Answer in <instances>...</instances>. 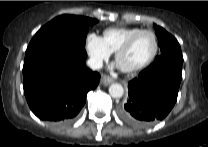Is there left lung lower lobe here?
Wrapping results in <instances>:
<instances>
[{"label":"left lung lower lobe","instance_id":"1","mask_svg":"<svg viewBox=\"0 0 208 147\" xmlns=\"http://www.w3.org/2000/svg\"><path fill=\"white\" fill-rule=\"evenodd\" d=\"M183 60L160 56L128 84L129 98L119 109L120 117L135 127L150 126L164 119L177 101Z\"/></svg>","mask_w":208,"mask_h":147}]
</instances>
